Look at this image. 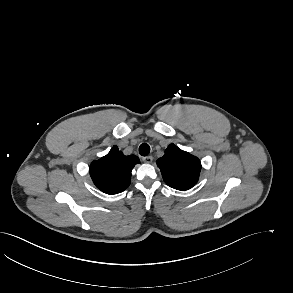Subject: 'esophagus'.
<instances>
[{
	"instance_id": "1",
	"label": "esophagus",
	"mask_w": 293,
	"mask_h": 293,
	"mask_svg": "<svg viewBox=\"0 0 293 293\" xmlns=\"http://www.w3.org/2000/svg\"><path fill=\"white\" fill-rule=\"evenodd\" d=\"M142 160L145 163H151L153 161V157L152 156H146V157H143Z\"/></svg>"
}]
</instances>
